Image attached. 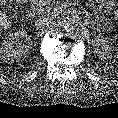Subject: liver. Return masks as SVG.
<instances>
[{
	"label": "liver",
	"instance_id": "obj_1",
	"mask_svg": "<svg viewBox=\"0 0 118 118\" xmlns=\"http://www.w3.org/2000/svg\"><path fill=\"white\" fill-rule=\"evenodd\" d=\"M11 27V20L8 18L5 12L0 11V31H6Z\"/></svg>",
	"mask_w": 118,
	"mask_h": 118
}]
</instances>
